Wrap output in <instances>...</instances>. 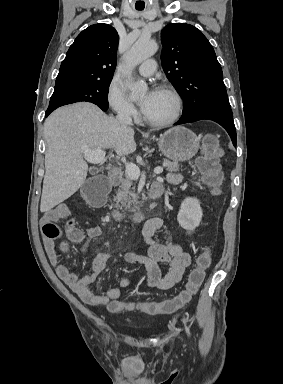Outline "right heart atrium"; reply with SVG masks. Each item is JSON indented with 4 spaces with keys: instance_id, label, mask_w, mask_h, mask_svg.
Listing matches in <instances>:
<instances>
[{
    "instance_id": "right-heart-atrium-1",
    "label": "right heart atrium",
    "mask_w": 283,
    "mask_h": 384,
    "mask_svg": "<svg viewBox=\"0 0 283 384\" xmlns=\"http://www.w3.org/2000/svg\"><path fill=\"white\" fill-rule=\"evenodd\" d=\"M107 101L110 108L122 119H133L137 115V110L130 102L123 87L115 80L110 81L107 87Z\"/></svg>"
}]
</instances>
